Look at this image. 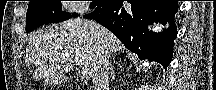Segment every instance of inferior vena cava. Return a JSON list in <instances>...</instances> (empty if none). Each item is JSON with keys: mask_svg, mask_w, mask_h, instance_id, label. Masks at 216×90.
Segmentation results:
<instances>
[{"mask_svg": "<svg viewBox=\"0 0 216 90\" xmlns=\"http://www.w3.org/2000/svg\"><path fill=\"white\" fill-rule=\"evenodd\" d=\"M109 58V54H104V56H101L96 70L92 72V78L95 84L94 90H110Z\"/></svg>", "mask_w": 216, "mask_h": 90, "instance_id": "obj_1", "label": "inferior vena cava"}]
</instances>
